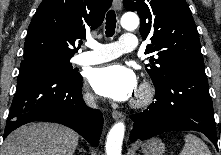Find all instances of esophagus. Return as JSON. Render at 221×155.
<instances>
[{"label":"esophagus","instance_id":"1","mask_svg":"<svg viewBox=\"0 0 221 155\" xmlns=\"http://www.w3.org/2000/svg\"><path fill=\"white\" fill-rule=\"evenodd\" d=\"M113 4H114V8L117 10V11H120L121 10V7H122V0H113ZM112 117L115 119V120H122L124 118V114L118 110H114L112 112Z\"/></svg>","mask_w":221,"mask_h":155}]
</instances>
